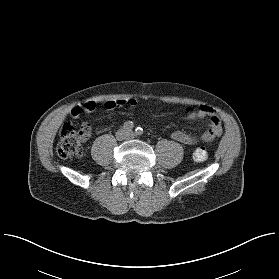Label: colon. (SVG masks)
I'll list each match as a JSON object with an SVG mask.
<instances>
[{"label": "colon", "mask_w": 279, "mask_h": 279, "mask_svg": "<svg viewBox=\"0 0 279 279\" xmlns=\"http://www.w3.org/2000/svg\"><path fill=\"white\" fill-rule=\"evenodd\" d=\"M210 123L207 134L203 141L209 142L222 133V126L219 121L217 112L211 111L207 114ZM90 135V125L86 121H74L65 123L59 130L57 143L58 154L65 159H76L83 155V143ZM194 159L203 162L208 157L205 146H198L194 151Z\"/></svg>", "instance_id": "obj_1"}]
</instances>
